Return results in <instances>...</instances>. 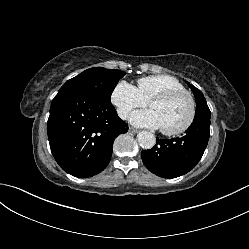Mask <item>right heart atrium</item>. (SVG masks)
<instances>
[{
    "label": "right heart atrium",
    "mask_w": 249,
    "mask_h": 249,
    "mask_svg": "<svg viewBox=\"0 0 249 249\" xmlns=\"http://www.w3.org/2000/svg\"><path fill=\"white\" fill-rule=\"evenodd\" d=\"M110 100L122 119L127 118L132 109L144 107L147 104L137 88L126 81H119L114 86Z\"/></svg>",
    "instance_id": "d8ad5b80"
}]
</instances>
